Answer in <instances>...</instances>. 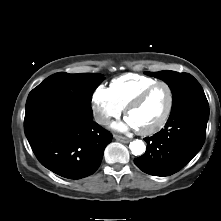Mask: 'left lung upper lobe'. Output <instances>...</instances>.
<instances>
[{
    "instance_id": "obj_1",
    "label": "left lung upper lobe",
    "mask_w": 221,
    "mask_h": 221,
    "mask_svg": "<svg viewBox=\"0 0 221 221\" xmlns=\"http://www.w3.org/2000/svg\"><path fill=\"white\" fill-rule=\"evenodd\" d=\"M145 74L163 80L170 87L173 95L172 109L189 98L204 95V91L199 82L188 73H178L167 70L145 72Z\"/></svg>"
}]
</instances>
